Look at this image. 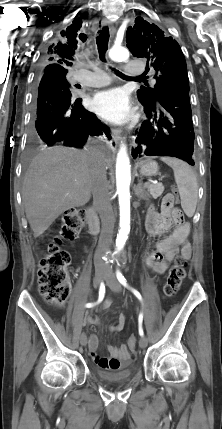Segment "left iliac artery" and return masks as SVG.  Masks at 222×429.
I'll list each match as a JSON object with an SVG mask.
<instances>
[{"mask_svg": "<svg viewBox=\"0 0 222 429\" xmlns=\"http://www.w3.org/2000/svg\"><path fill=\"white\" fill-rule=\"evenodd\" d=\"M116 276H117L118 281H119L123 286H125V287L129 288V286H128V284H127V281H126V279H125V277L122 275V273H121L119 270H117V271H116ZM131 291L134 293V295H135V296H136L140 301H142V296H141V294H140L137 290H135V289H132V288H131ZM142 321H143V313H140V314H139V318H138V322H139V335H140V336H143V335H144L143 328H142Z\"/></svg>", "mask_w": 222, "mask_h": 429, "instance_id": "left-iliac-artery-1", "label": "left iliac artery"}]
</instances>
